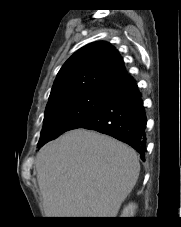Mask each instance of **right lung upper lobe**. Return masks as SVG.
I'll return each mask as SVG.
<instances>
[{"label": "right lung upper lobe", "mask_w": 181, "mask_h": 227, "mask_svg": "<svg viewBox=\"0 0 181 227\" xmlns=\"http://www.w3.org/2000/svg\"><path fill=\"white\" fill-rule=\"evenodd\" d=\"M126 75L123 60L112 45L104 41L90 43L75 52L61 67L48 104L73 94L111 89Z\"/></svg>", "instance_id": "cb5924a9"}]
</instances>
